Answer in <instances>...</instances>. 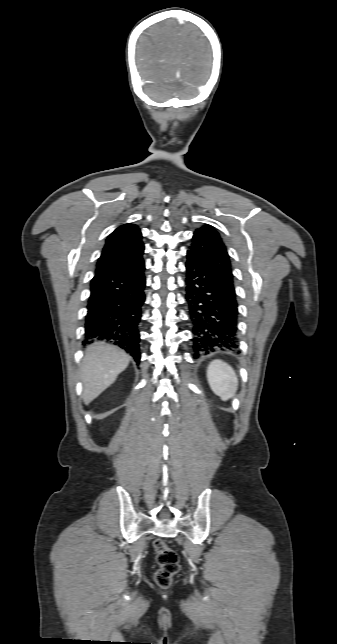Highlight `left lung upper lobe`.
<instances>
[{
	"label": "left lung upper lobe",
	"instance_id": "left-lung-upper-lobe-1",
	"mask_svg": "<svg viewBox=\"0 0 337 644\" xmlns=\"http://www.w3.org/2000/svg\"><path fill=\"white\" fill-rule=\"evenodd\" d=\"M191 252L218 267L233 283L230 259L219 233L210 225H204L194 232Z\"/></svg>",
	"mask_w": 337,
	"mask_h": 644
}]
</instances>
